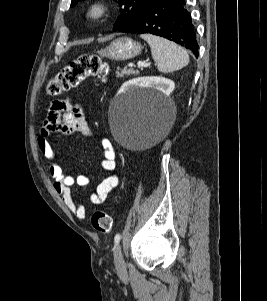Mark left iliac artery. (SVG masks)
<instances>
[{
	"mask_svg": "<svg viewBox=\"0 0 267 301\" xmlns=\"http://www.w3.org/2000/svg\"><path fill=\"white\" fill-rule=\"evenodd\" d=\"M120 240H121V234L117 233L114 237L115 244H118Z\"/></svg>",
	"mask_w": 267,
	"mask_h": 301,
	"instance_id": "obj_1",
	"label": "left iliac artery"
}]
</instances>
